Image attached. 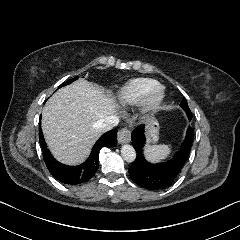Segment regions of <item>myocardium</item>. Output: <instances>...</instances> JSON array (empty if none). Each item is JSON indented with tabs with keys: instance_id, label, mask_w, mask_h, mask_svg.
Wrapping results in <instances>:
<instances>
[{
	"instance_id": "f54148a6",
	"label": "myocardium",
	"mask_w": 240,
	"mask_h": 240,
	"mask_svg": "<svg viewBox=\"0 0 240 240\" xmlns=\"http://www.w3.org/2000/svg\"><path fill=\"white\" fill-rule=\"evenodd\" d=\"M165 99V89L161 85H157L152 89L143 100L142 114L148 116L152 112H155Z\"/></svg>"
}]
</instances>
